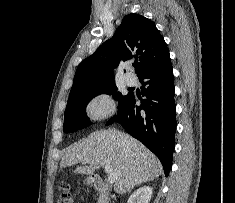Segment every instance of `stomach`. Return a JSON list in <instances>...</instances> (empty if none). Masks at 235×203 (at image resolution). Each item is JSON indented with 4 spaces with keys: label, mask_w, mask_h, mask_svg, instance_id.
<instances>
[{
    "label": "stomach",
    "mask_w": 235,
    "mask_h": 203,
    "mask_svg": "<svg viewBox=\"0 0 235 203\" xmlns=\"http://www.w3.org/2000/svg\"><path fill=\"white\" fill-rule=\"evenodd\" d=\"M93 182H94V179H93L92 176L88 177V178L85 180V183L88 184V185L93 184Z\"/></svg>",
    "instance_id": "stomach-1"
}]
</instances>
